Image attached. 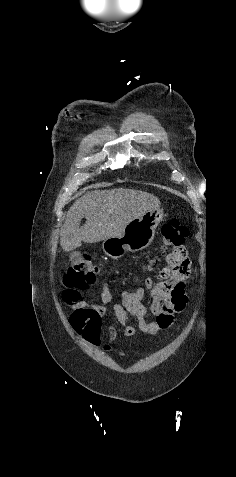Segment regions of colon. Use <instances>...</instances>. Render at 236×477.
<instances>
[{"instance_id": "5ec220e1", "label": "colon", "mask_w": 236, "mask_h": 477, "mask_svg": "<svg viewBox=\"0 0 236 477\" xmlns=\"http://www.w3.org/2000/svg\"><path fill=\"white\" fill-rule=\"evenodd\" d=\"M188 235V230L177 220H171L162 227V236L167 261V267L161 272V282L166 290L171 287L168 282L184 274L180 267L187 257V249L183 244ZM170 248L169 250H167ZM156 260L151 261V265ZM151 266H149V269ZM100 272V268L93 264L92 255L84 253L82 259L75 262L63 277V286L75 301L79 300L81 292L91 287Z\"/></svg>"}]
</instances>
